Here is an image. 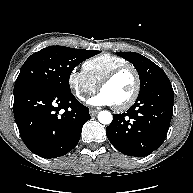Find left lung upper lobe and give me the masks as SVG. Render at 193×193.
<instances>
[{"label": "left lung upper lobe", "instance_id": "5c2ea615", "mask_svg": "<svg viewBox=\"0 0 193 193\" xmlns=\"http://www.w3.org/2000/svg\"><path fill=\"white\" fill-rule=\"evenodd\" d=\"M119 56L130 61L136 68L140 77V93L145 92L159 79L166 77L165 72L150 59L135 52H117Z\"/></svg>", "mask_w": 193, "mask_h": 193}]
</instances>
